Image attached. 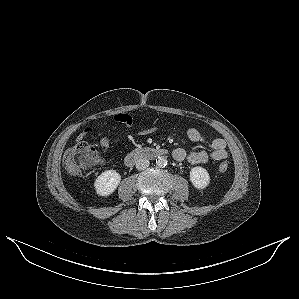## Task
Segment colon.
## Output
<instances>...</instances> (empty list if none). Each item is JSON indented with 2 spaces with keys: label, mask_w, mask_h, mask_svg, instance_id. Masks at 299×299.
Instances as JSON below:
<instances>
[{
  "label": "colon",
  "mask_w": 299,
  "mask_h": 299,
  "mask_svg": "<svg viewBox=\"0 0 299 299\" xmlns=\"http://www.w3.org/2000/svg\"><path fill=\"white\" fill-rule=\"evenodd\" d=\"M99 162V154L95 146L79 141L64 155V165L66 171L72 176H82ZM228 164L222 162L218 166L221 173L226 172Z\"/></svg>",
  "instance_id": "1"
}]
</instances>
